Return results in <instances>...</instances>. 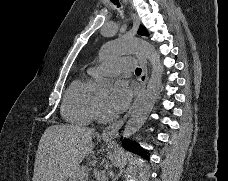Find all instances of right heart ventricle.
<instances>
[{"label": "right heart ventricle", "mask_w": 228, "mask_h": 181, "mask_svg": "<svg viewBox=\"0 0 228 181\" xmlns=\"http://www.w3.org/2000/svg\"><path fill=\"white\" fill-rule=\"evenodd\" d=\"M95 73L91 69L80 73L66 92L62 113L73 123H87L97 114L98 99L92 91Z\"/></svg>", "instance_id": "1"}]
</instances>
